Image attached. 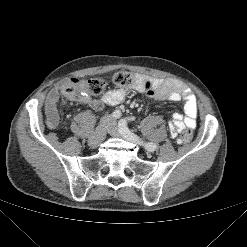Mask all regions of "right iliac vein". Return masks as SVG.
I'll list each match as a JSON object with an SVG mask.
<instances>
[{
  "label": "right iliac vein",
  "mask_w": 247,
  "mask_h": 247,
  "mask_svg": "<svg viewBox=\"0 0 247 247\" xmlns=\"http://www.w3.org/2000/svg\"><path fill=\"white\" fill-rule=\"evenodd\" d=\"M109 123H110L109 117H104L101 120V123L97 127L94 135L90 136V138H89L88 144L91 147H96L102 142V140L104 139V136H105V128L108 126Z\"/></svg>",
  "instance_id": "63e3f726"
}]
</instances>
